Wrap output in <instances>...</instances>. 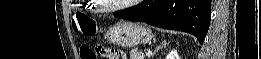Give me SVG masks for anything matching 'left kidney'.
<instances>
[{
  "label": "left kidney",
  "mask_w": 261,
  "mask_h": 59,
  "mask_svg": "<svg viewBox=\"0 0 261 59\" xmlns=\"http://www.w3.org/2000/svg\"><path fill=\"white\" fill-rule=\"evenodd\" d=\"M166 59H180L177 50H171V52L166 56Z\"/></svg>",
  "instance_id": "1"
}]
</instances>
